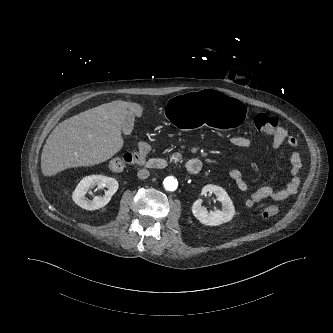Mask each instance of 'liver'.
<instances>
[{
    "label": "liver",
    "mask_w": 333,
    "mask_h": 333,
    "mask_svg": "<svg viewBox=\"0 0 333 333\" xmlns=\"http://www.w3.org/2000/svg\"><path fill=\"white\" fill-rule=\"evenodd\" d=\"M128 113L141 117L138 103L115 100L59 123L48 136L41 155L45 176L73 167L103 163L123 146L122 123Z\"/></svg>",
    "instance_id": "liver-1"
}]
</instances>
